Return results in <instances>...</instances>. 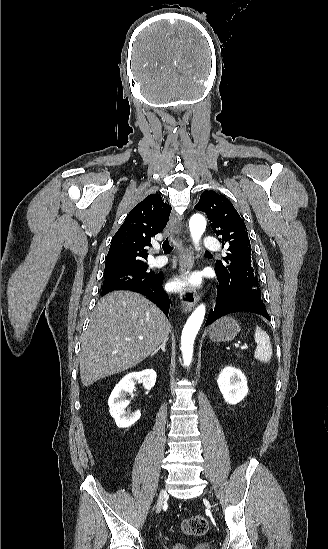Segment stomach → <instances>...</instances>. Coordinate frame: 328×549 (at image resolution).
Here are the masks:
<instances>
[{
  "mask_svg": "<svg viewBox=\"0 0 328 549\" xmlns=\"http://www.w3.org/2000/svg\"><path fill=\"white\" fill-rule=\"evenodd\" d=\"M240 325L232 319V317H221L215 321L210 327L209 339L213 343H225V341H233L240 333Z\"/></svg>",
  "mask_w": 328,
  "mask_h": 549,
  "instance_id": "0dacf381",
  "label": "stomach"
}]
</instances>
